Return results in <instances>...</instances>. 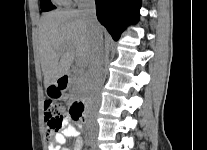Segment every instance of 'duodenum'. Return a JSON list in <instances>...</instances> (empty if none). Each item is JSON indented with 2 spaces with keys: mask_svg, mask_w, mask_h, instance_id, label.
<instances>
[{
  "mask_svg": "<svg viewBox=\"0 0 207 150\" xmlns=\"http://www.w3.org/2000/svg\"><path fill=\"white\" fill-rule=\"evenodd\" d=\"M69 82V75H63L59 79L60 86L66 87ZM75 109L81 114V117H86L88 114L87 106L83 102L74 104Z\"/></svg>",
  "mask_w": 207,
  "mask_h": 150,
  "instance_id": "duodenum-1",
  "label": "duodenum"
}]
</instances>
